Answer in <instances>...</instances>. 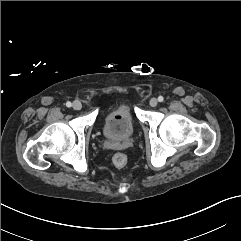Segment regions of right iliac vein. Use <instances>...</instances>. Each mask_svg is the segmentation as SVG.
I'll return each instance as SVG.
<instances>
[{"mask_svg":"<svg viewBox=\"0 0 241 241\" xmlns=\"http://www.w3.org/2000/svg\"><path fill=\"white\" fill-rule=\"evenodd\" d=\"M73 109L74 110H76V111H79V110H81V108H82V104H81V102L80 101H74L73 102Z\"/></svg>","mask_w":241,"mask_h":241,"instance_id":"right-iliac-vein-1","label":"right iliac vein"}]
</instances>
